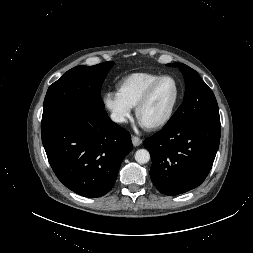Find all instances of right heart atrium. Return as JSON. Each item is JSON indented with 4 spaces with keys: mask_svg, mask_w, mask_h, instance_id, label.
<instances>
[{
    "mask_svg": "<svg viewBox=\"0 0 253 253\" xmlns=\"http://www.w3.org/2000/svg\"><path fill=\"white\" fill-rule=\"evenodd\" d=\"M103 104L117 123L125 122L130 116V108L115 93H106L103 97Z\"/></svg>",
    "mask_w": 253,
    "mask_h": 253,
    "instance_id": "d8ad5b80",
    "label": "right heart atrium"
}]
</instances>
